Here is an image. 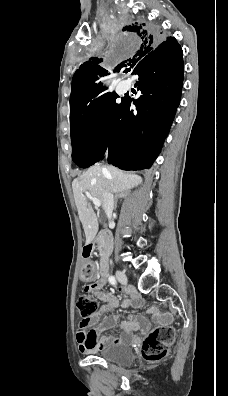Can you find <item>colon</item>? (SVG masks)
<instances>
[{"label": "colon", "mask_w": 228, "mask_h": 396, "mask_svg": "<svg viewBox=\"0 0 228 396\" xmlns=\"http://www.w3.org/2000/svg\"><path fill=\"white\" fill-rule=\"evenodd\" d=\"M77 308L81 316L80 327L86 328L91 323L92 317L99 309L96 300L85 294L79 295ZM175 334L173 328L169 326L158 327L151 331L143 340L141 353L143 358L151 364L158 363L165 359L174 343Z\"/></svg>", "instance_id": "1"}]
</instances>
